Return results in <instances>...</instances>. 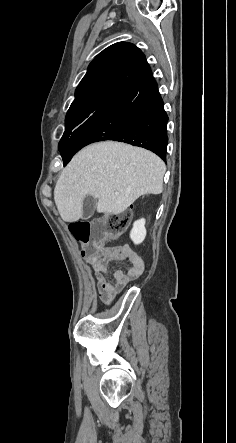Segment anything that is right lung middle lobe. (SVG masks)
<instances>
[{"instance_id":"dd1d6c3e","label":"right lung middle lobe","mask_w":236,"mask_h":443,"mask_svg":"<svg viewBox=\"0 0 236 443\" xmlns=\"http://www.w3.org/2000/svg\"><path fill=\"white\" fill-rule=\"evenodd\" d=\"M109 96L110 95H98L74 106H70L65 119V132L59 142V150L61 152L67 149L70 139L75 135L78 127L88 120Z\"/></svg>"}]
</instances>
